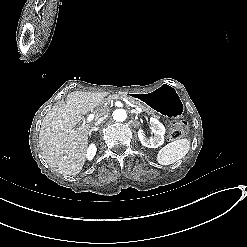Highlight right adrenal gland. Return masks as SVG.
<instances>
[{
  "instance_id": "2a0ac1e0",
  "label": "right adrenal gland",
  "mask_w": 247,
  "mask_h": 247,
  "mask_svg": "<svg viewBox=\"0 0 247 247\" xmlns=\"http://www.w3.org/2000/svg\"><path fill=\"white\" fill-rule=\"evenodd\" d=\"M97 130H98V128L92 127L91 130L88 132L89 136H91V133H92L93 131H97Z\"/></svg>"
}]
</instances>
